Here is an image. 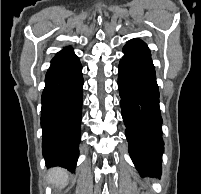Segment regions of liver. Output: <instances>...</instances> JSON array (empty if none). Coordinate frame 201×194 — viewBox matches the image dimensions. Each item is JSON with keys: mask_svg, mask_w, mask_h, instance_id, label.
Segmentation results:
<instances>
[{"mask_svg": "<svg viewBox=\"0 0 201 194\" xmlns=\"http://www.w3.org/2000/svg\"><path fill=\"white\" fill-rule=\"evenodd\" d=\"M68 180V172L62 168H53L49 171V182L56 187H63Z\"/></svg>", "mask_w": 201, "mask_h": 194, "instance_id": "liver-1", "label": "liver"}]
</instances>
